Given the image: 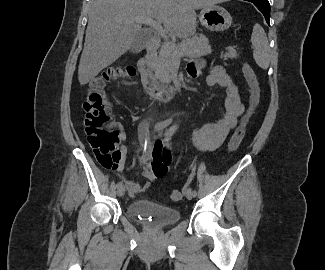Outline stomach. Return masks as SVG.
Wrapping results in <instances>:
<instances>
[{
	"mask_svg": "<svg viewBox=\"0 0 325 270\" xmlns=\"http://www.w3.org/2000/svg\"><path fill=\"white\" fill-rule=\"evenodd\" d=\"M200 22L207 29L212 31H223L231 25L230 14L220 6H205L199 15Z\"/></svg>",
	"mask_w": 325,
	"mask_h": 270,
	"instance_id": "stomach-1",
	"label": "stomach"
}]
</instances>
